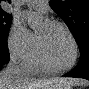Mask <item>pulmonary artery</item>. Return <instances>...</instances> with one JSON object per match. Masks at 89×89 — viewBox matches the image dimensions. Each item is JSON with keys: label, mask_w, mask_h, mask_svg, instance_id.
Listing matches in <instances>:
<instances>
[{"label": "pulmonary artery", "mask_w": 89, "mask_h": 89, "mask_svg": "<svg viewBox=\"0 0 89 89\" xmlns=\"http://www.w3.org/2000/svg\"><path fill=\"white\" fill-rule=\"evenodd\" d=\"M31 2L36 3V4H43V3L47 2V1H43V0H33V1H31Z\"/></svg>", "instance_id": "e3ab8cb5"}]
</instances>
